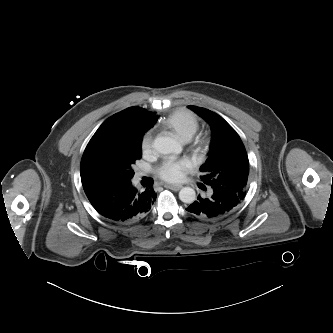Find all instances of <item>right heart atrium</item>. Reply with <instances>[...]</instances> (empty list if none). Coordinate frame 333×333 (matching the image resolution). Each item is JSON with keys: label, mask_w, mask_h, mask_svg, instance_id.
Here are the masks:
<instances>
[{"label": "right heart atrium", "mask_w": 333, "mask_h": 333, "mask_svg": "<svg viewBox=\"0 0 333 333\" xmlns=\"http://www.w3.org/2000/svg\"><path fill=\"white\" fill-rule=\"evenodd\" d=\"M153 147V138L151 134H146L141 142V149L143 154L147 155L151 152Z\"/></svg>", "instance_id": "obj_1"}]
</instances>
